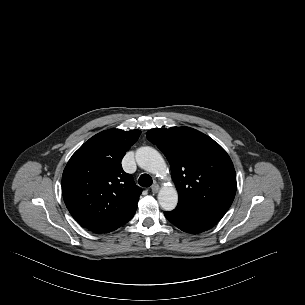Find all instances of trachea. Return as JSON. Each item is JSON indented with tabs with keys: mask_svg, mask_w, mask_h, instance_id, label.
I'll use <instances>...</instances> for the list:
<instances>
[{
	"mask_svg": "<svg viewBox=\"0 0 305 305\" xmlns=\"http://www.w3.org/2000/svg\"><path fill=\"white\" fill-rule=\"evenodd\" d=\"M138 183L142 187H149L152 185V178L149 174H142L138 179Z\"/></svg>",
	"mask_w": 305,
	"mask_h": 305,
	"instance_id": "obj_1",
	"label": "trachea"
}]
</instances>
